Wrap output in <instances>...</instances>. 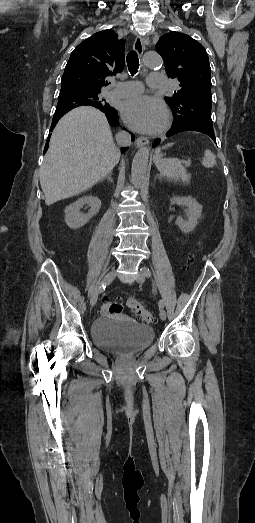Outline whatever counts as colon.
<instances>
[{
  "instance_id": "colon-1",
  "label": "colon",
  "mask_w": 255,
  "mask_h": 523,
  "mask_svg": "<svg viewBox=\"0 0 255 523\" xmlns=\"http://www.w3.org/2000/svg\"><path fill=\"white\" fill-rule=\"evenodd\" d=\"M127 307L130 309L132 314L139 319L141 322L145 324L153 323L155 320L154 315L146 310L143 306V304L134 299V298H128L127 299ZM122 304L118 301H110L106 300L104 304L101 307L100 314L101 315H115L119 314L122 311Z\"/></svg>"
}]
</instances>
